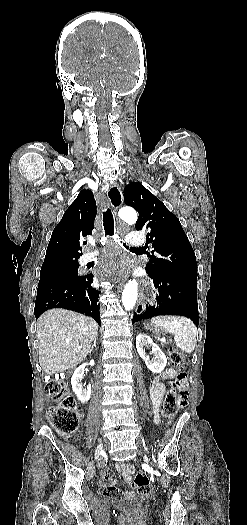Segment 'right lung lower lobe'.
<instances>
[{
	"label": "right lung lower lobe",
	"instance_id": "right-lung-lower-lobe-1",
	"mask_svg": "<svg viewBox=\"0 0 247 525\" xmlns=\"http://www.w3.org/2000/svg\"><path fill=\"white\" fill-rule=\"evenodd\" d=\"M93 275L65 278L38 287L35 302L36 319L44 311L65 308L91 316L100 324L99 292L91 287Z\"/></svg>",
	"mask_w": 247,
	"mask_h": 525
}]
</instances>
